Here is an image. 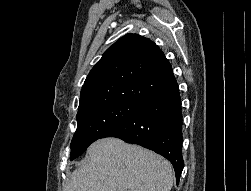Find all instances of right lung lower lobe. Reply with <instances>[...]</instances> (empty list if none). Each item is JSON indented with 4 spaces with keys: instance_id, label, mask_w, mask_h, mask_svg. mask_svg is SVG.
Wrapping results in <instances>:
<instances>
[{
    "instance_id": "right-lung-lower-lobe-1",
    "label": "right lung lower lobe",
    "mask_w": 251,
    "mask_h": 191,
    "mask_svg": "<svg viewBox=\"0 0 251 191\" xmlns=\"http://www.w3.org/2000/svg\"><path fill=\"white\" fill-rule=\"evenodd\" d=\"M182 124L181 98L176 82L142 104L136 112L102 138H120L164 156L172 163L178 184L184 167Z\"/></svg>"
}]
</instances>
